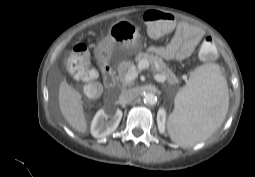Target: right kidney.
Returning <instances> with one entry per match:
<instances>
[{
    "instance_id": "right-kidney-1",
    "label": "right kidney",
    "mask_w": 255,
    "mask_h": 177,
    "mask_svg": "<svg viewBox=\"0 0 255 177\" xmlns=\"http://www.w3.org/2000/svg\"><path fill=\"white\" fill-rule=\"evenodd\" d=\"M122 111L116 110L113 114L107 115L103 109H100L94 116L91 123V134L95 138H104L113 133L122 118ZM110 117V120L106 122V119Z\"/></svg>"
}]
</instances>
